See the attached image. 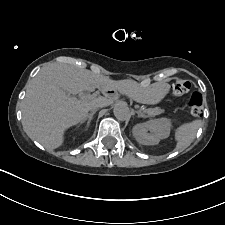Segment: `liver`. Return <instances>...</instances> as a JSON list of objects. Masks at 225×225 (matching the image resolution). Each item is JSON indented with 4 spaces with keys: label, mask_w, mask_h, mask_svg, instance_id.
Segmentation results:
<instances>
[{
    "label": "liver",
    "mask_w": 225,
    "mask_h": 225,
    "mask_svg": "<svg viewBox=\"0 0 225 225\" xmlns=\"http://www.w3.org/2000/svg\"><path fill=\"white\" fill-rule=\"evenodd\" d=\"M96 88L104 94L119 89L139 103H146L145 95L149 93L127 88L120 82L89 70L66 64H51L43 67L27 84L22 105L24 131L32 140L49 150L59 148L64 143L65 130L86 120L93 104L99 100H103L106 106L112 103L111 97L107 95L82 97L84 91L92 92ZM70 94L81 96L77 99Z\"/></svg>",
    "instance_id": "6515ba94"
}]
</instances>
